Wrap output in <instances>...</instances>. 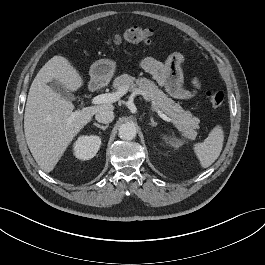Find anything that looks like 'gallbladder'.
<instances>
[{"mask_svg":"<svg viewBox=\"0 0 265 265\" xmlns=\"http://www.w3.org/2000/svg\"><path fill=\"white\" fill-rule=\"evenodd\" d=\"M50 87L56 91L57 93H59L63 98L72 100L74 99V96L72 94H70L67 89L59 82L56 80H53L52 82H50Z\"/></svg>","mask_w":265,"mask_h":265,"instance_id":"bac80fb5","label":"gallbladder"}]
</instances>
